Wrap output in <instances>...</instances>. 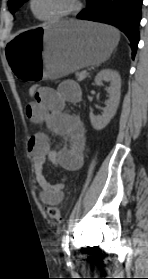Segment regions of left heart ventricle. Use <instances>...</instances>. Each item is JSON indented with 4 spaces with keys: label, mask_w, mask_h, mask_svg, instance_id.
<instances>
[{
    "label": "left heart ventricle",
    "mask_w": 148,
    "mask_h": 279,
    "mask_svg": "<svg viewBox=\"0 0 148 279\" xmlns=\"http://www.w3.org/2000/svg\"><path fill=\"white\" fill-rule=\"evenodd\" d=\"M70 5L71 0H34V10L42 17L62 12Z\"/></svg>",
    "instance_id": "1"
}]
</instances>
